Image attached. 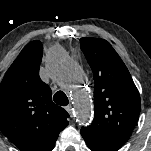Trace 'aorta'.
<instances>
[{
	"label": "aorta",
	"instance_id": "762f6f07",
	"mask_svg": "<svg viewBox=\"0 0 151 151\" xmlns=\"http://www.w3.org/2000/svg\"><path fill=\"white\" fill-rule=\"evenodd\" d=\"M49 70L53 76L66 82L74 83L75 72L78 67L67 58L63 48L56 47L50 56ZM72 98L78 122L82 125H87L91 120L90 100L87 92L80 85L74 84L72 87Z\"/></svg>",
	"mask_w": 151,
	"mask_h": 151
}]
</instances>
